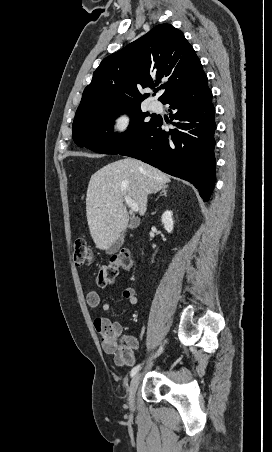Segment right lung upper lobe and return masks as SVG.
<instances>
[{"instance_id": "right-lung-upper-lobe-1", "label": "right lung upper lobe", "mask_w": 272, "mask_h": 452, "mask_svg": "<svg viewBox=\"0 0 272 452\" xmlns=\"http://www.w3.org/2000/svg\"><path fill=\"white\" fill-rule=\"evenodd\" d=\"M206 75L194 49L183 33L170 24H160L146 35L105 58L85 88L75 117L98 109H116L140 104L137 85L154 88L161 80L164 102ZM129 89L130 96L125 92Z\"/></svg>"}]
</instances>
